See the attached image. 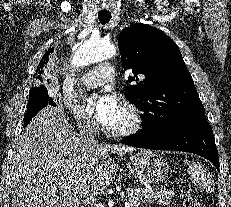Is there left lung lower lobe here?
<instances>
[{
  "label": "left lung lower lobe",
  "mask_w": 231,
  "mask_h": 207,
  "mask_svg": "<svg viewBox=\"0 0 231 207\" xmlns=\"http://www.w3.org/2000/svg\"><path fill=\"white\" fill-rule=\"evenodd\" d=\"M122 143L146 149L195 153L207 158L219 171L215 138L206 117L187 120L161 135L139 132L122 139Z\"/></svg>",
  "instance_id": "left-lung-lower-lobe-1"
}]
</instances>
